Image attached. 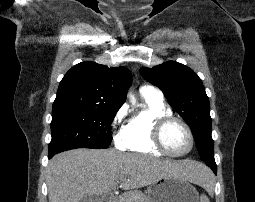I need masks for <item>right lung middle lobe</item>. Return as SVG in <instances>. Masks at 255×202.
<instances>
[{
    "label": "right lung middle lobe",
    "mask_w": 255,
    "mask_h": 202,
    "mask_svg": "<svg viewBox=\"0 0 255 202\" xmlns=\"http://www.w3.org/2000/svg\"><path fill=\"white\" fill-rule=\"evenodd\" d=\"M118 109L87 108L52 115L49 155L74 148H107Z\"/></svg>",
    "instance_id": "dd1d6c3e"
}]
</instances>
